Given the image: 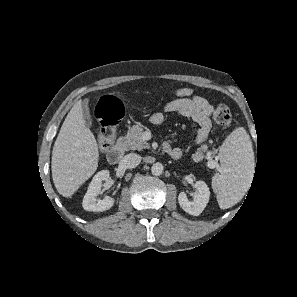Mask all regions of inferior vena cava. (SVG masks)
I'll use <instances>...</instances> for the list:
<instances>
[{
  "instance_id": "obj_1",
  "label": "inferior vena cava",
  "mask_w": 297,
  "mask_h": 297,
  "mask_svg": "<svg viewBox=\"0 0 297 297\" xmlns=\"http://www.w3.org/2000/svg\"><path fill=\"white\" fill-rule=\"evenodd\" d=\"M141 156L136 153H129L122 159V163L127 168H134L141 162Z\"/></svg>"
}]
</instances>
